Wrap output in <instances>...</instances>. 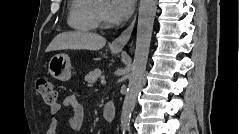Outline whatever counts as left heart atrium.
<instances>
[{
  "mask_svg": "<svg viewBox=\"0 0 239 134\" xmlns=\"http://www.w3.org/2000/svg\"><path fill=\"white\" fill-rule=\"evenodd\" d=\"M133 11V0H112L106 10L109 22L118 24L125 21Z\"/></svg>",
  "mask_w": 239,
  "mask_h": 134,
  "instance_id": "39dd6f15",
  "label": "left heart atrium"
}]
</instances>
